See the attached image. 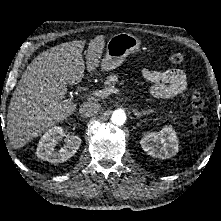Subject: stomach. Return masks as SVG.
Wrapping results in <instances>:
<instances>
[{
    "label": "stomach",
    "mask_w": 221,
    "mask_h": 221,
    "mask_svg": "<svg viewBox=\"0 0 221 221\" xmlns=\"http://www.w3.org/2000/svg\"><path fill=\"white\" fill-rule=\"evenodd\" d=\"M140 40L130 33L112 35L107 42L106 55L101 60V70L110 71L120 66L126 57L139 50Z\"/></svg>",
    "instance_id": "1"
}]
</instances>
